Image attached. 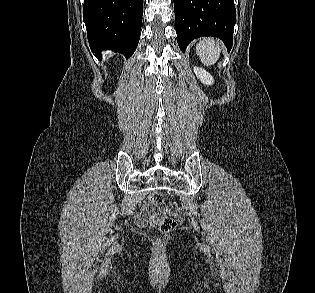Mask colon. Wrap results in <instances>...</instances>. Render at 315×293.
I'll return each mask as SVG.
<instances>
[{"instance_id": "colon-1", "label": "colon", "mask_w": 315, "mask_h": 293, "mask_svg": "<svg viewBox=\"0 0 315 293\" xmlns=\"http://www.w3.org/2000/svg\"><path fill=\"white\" fill-rule=\"evenodd\" d=\"M149 202L152 205L160 206L164 203V197L161 193L155 192L149 196ZM167 211L176 218L182 217V212L174 204H169L167 206ZM176 224V219L171 216L161 217L155 223L156 227L162 234H168L173 231L176 227Z\"/></svg>"}]
</instances>
